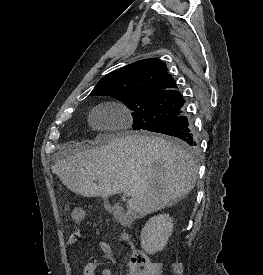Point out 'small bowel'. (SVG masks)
<instances>
[{
  "instance_id": "c3829d8e",
  "label": "small bowel",
  "mask_w": 263,
  "mask_h": 275,
  "mask_svg": "<svg viewBox=\"0 0 263 275\" xmlns=\"http://www.w3.org/2000/svg\"><path fill=\"white\" fill-rule=\"evenodd\" d=\"M82 238L80 232L72 233L67 241L68 247H72ZM99 248L105 256H110L112 254V246L106 241H100ZM100 266V263L97 260L89 261L83 268V275H97L96 270ZM100 275H112L109 269H104L101 271ZM127 275H143L140 270H138L131 263L128 264V273Z\"/></svg>"
}]
</instances>
